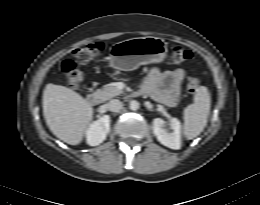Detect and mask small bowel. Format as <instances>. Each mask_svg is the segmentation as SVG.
Returning a JSON list of instances; mask_svg holds the SVG:
<instances>
[{
  "label": "small bowel",
  "mask_w": 260,
  "mask_h": 205,
  "mask_svg": "<svg viewBox=\"0 0 260 205\" xmlns=\"http://www.w3.org/2000/svg\"><path fill=\"white\" fill-rule=\"evenodd\" d=\"M185 78V70L161 71L151 68L142 87L143 93L169 107L176 106L180 94V86Z\"/></svg>",
  "instance_id": "obj_1"
}]
</instances>
